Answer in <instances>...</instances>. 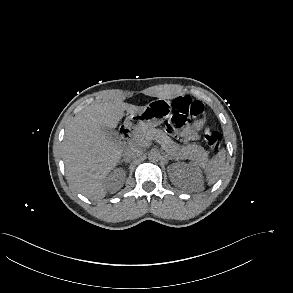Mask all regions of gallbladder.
Masks as SVG:
<instances>
[{
    "label": "gallbladder",
    "mask_w": 293,
    "mask_h": 293,
    "mask_svg": "<svg viewBox=\"0 0 293 293\" xmlns=\"http://www.w3.org/2000/svg\"><path fill=\"white\" fill-rule=\"evenodd\" d=\"M101 130L106 134V136H108L110 139L116 141V142H121V137L119 135V133L112 129V128H109V127H106V126H102L101 127Z\"/></svg>",
    "instance_id": "gallbladder-1"
}]
</instances>
